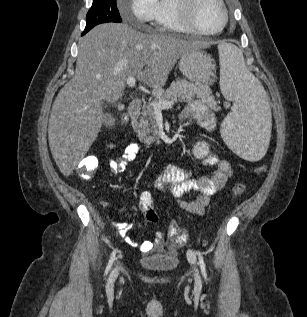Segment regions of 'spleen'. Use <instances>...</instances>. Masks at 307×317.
Instances as JSON below:
<instances>
[{
    "label": "spleen",
    "instance_id": "3e777b00",
    "mask_svg": "<svg viewBox=\"0 0 307 317\" xmlns=\"http://www.w3.org/2000/svg\"><path fill=\"white\" fill-rule=\"evenodd\" d=\"M220 89L235 101V107L221 124L225 143L242 160H259L267 155L273 106L267 91L247 69L241 51L232 44L218 46Z\"/></svg>",
    "mask_w": 307,
    "mask_h": 317
}]
</instances>
